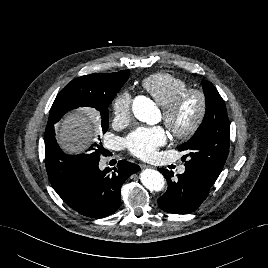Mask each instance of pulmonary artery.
Wrapping results in <instances>:
<instances>
[{"label":"pulmonary artery","mask_w":268,"mask_h":268,"mask_svg":"<svg viewBox=\"0 0 268 268\" xmlns=\"http://www.w3.org/2000/svg\"><path fill=\"white\" fill-rule=\"evenodd\" d=\"M184 172H185V166L182 165L178 168V173L183 174Z\"/></svg>","instance_id":"pulmonary-artery-1"}]
</instances>
